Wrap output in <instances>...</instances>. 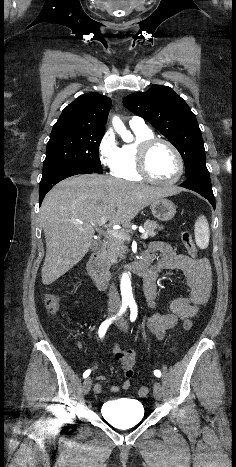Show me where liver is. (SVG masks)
<instances>
[{
	"label": "liver",
	"mask_w": 236,
	"mask_h": 467,
	"mask_svg": "<svg viewBox=\"0 0 236 467\" xmlns=\"http://www.w3.org/2000/svg\"><path fill=\"white\" fill-rule=\"evenodd\" d=\"M175 187L138 185L98 174L67 178L45 196L40 220L46 241L42 283L49 285L88 252L103 217L127 226L153 201L177 194Z\"/></svg>",
	"instance_id": "obj_1"
}]
</instances>
